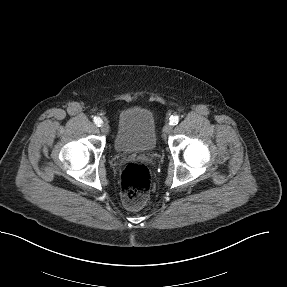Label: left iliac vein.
<instances>
[{
	"label": "left iliac vein",
	"mask_w": 287,
	"mask_h": 287,
	"mask_svg": "<svg viewBox=\"0 0 287 287\" xmlns=\"http://www.w3.org/2000/svg\"><path fill=\"white\" fill-rule=\"evenodd\" d=\"M172 129H173V127L170 124H166L163 128V131L165 134H169V133H171Z\"/></svg>",
	"instance_id": "4c4485c4"
}]
</instances>
